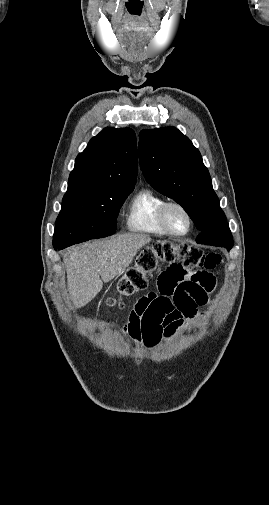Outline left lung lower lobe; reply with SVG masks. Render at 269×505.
I'll use <instances>...</instances> for the list:
<instances>
[{"label": "left lung lower lobe", "mask_w": 269, "mask_h": 505, "mask_svg": "<svg viewBox=\"0 0 269 505\" xmlns=\"http://www.w3.org/2000/svg\"><path fill=\"white\" fill-rule=\"evenodd\" d=\"M228 251L231 249V248H226Z\"/></svg>", "instance_id": "obj_1"}]
</instances>
